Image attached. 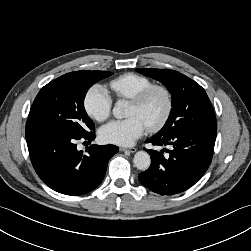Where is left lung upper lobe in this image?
<instances>
[{
    "label": "left lung upper lobe",
    "instance_id": "5c2ea615",
    "mask_svg": "<svg viewBox=\"0 0 251 251\" xmlns=\"http://www.w3.org/2000/svg\"><path fill=\"white\" fill-rule=\"evenodd\" d=\"M137 72L160 81L172 96L169 118L155 136H169L183 129L217 127L211 102L198 83L169 69L147 68Z\"/></svg>",
    "mask_w": 251,
    "mask_h": 251
}]
</instances>
